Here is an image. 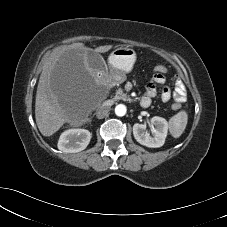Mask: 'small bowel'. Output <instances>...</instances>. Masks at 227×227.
<instances>
[{"label":"small bowel","mask_w":227,"mask_h":227,"mask_svg":"<svg viewBox=\"0 0 227 227\" xmlns=\"http://www.w3.org/2000/svg\"><path fill=\"white\" fill-rule=\"evenodd\" d=\"M165 77L163 74L155 73L151 81L146 85V93L141 98L142 107H148L151 104L152 98L157 94L156 86L158 84H164ZM175 91L174 100L177 103H183L186 100V89L182 81L178 78L174 79ZM161 98L164 102H167L171 98V91L168 87L164 86L161 92Z\"/></svg>","instance_id":"c3829d8e"}]
</instances>
